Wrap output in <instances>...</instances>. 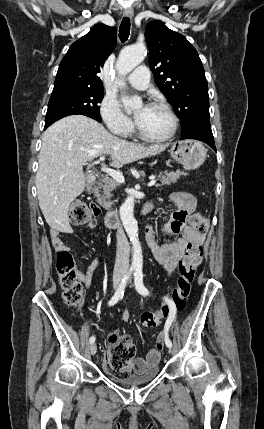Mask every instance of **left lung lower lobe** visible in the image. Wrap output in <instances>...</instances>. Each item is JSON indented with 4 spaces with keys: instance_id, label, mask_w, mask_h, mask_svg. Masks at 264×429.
<instances>
[{
    "instance_id": "0a47b994",
    "label": "left lung lower lobe",
    "mask_w": 264,
    "mask_h": 429,
    "mask_svg": "<svg viewBox=\"0 0 264 429\" xmlns=\"http://www.w3.org/2000/svg\"><path fill=\"white\" fill-rule=\"evenodd\" d=\"M182 139H196L207 143L210 147H212L216 151L214 138L211 130L210 124H203L196 128L190 134L184 135L181 137Z\"/></svg>"
}]
</instances>
